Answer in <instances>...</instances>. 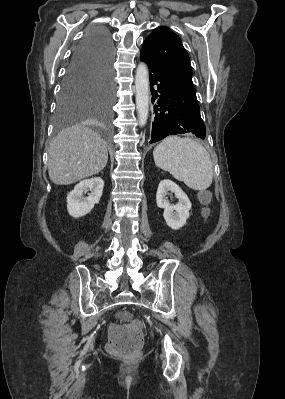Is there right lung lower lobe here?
Here are the masks:
<instances>
[{"instance_id": "1", "label": "right lung lower lobe", "mask_w": 285, "mask_h": 399, "mask_svg": "<svg viewBox=\"0 0 285 399\" xmlns=\"http://www.w3.org/2000/svg\"><path fill=\"white\" fill-rule=\"evenodd\" d=\"M113 43L109 32L102 27L88 30L73 52L66 76L92 77L113 75Z\"/></svg>"}]
</instances>
